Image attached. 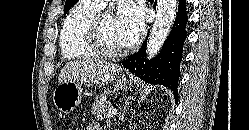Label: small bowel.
<instances>
[{
	"mask_svg": "<svg viewBox=\"0 0 249 130\" xmlns=\"http://www.w3.org/2000/svg\"><path fill=\"white\" fill-rule=\"evenodd\" d=\"M87 130H102V129L99 124L92 122L88 125Z\"/></svg>",
	"mask_w": 249,
	"mask_h": 130,
	"instance_id": "c3829d8e",
	"label": "small bowel"
}]
</instances>
